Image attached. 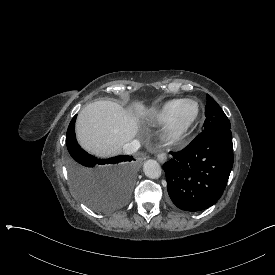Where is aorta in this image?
Returning <instances> with one entry per match:
<instances>
[{
    "mask_svg": "<svg viewBox=\"0 0 275 275\" xmlns=\"http://www.w3.org/2000/svg\"><path fill=\"white\" fill-rule=\"evenodd\" d=\"M143 171L146 176L150 178H156L161 173V168L159 163L154 159H148L143 164Z\"/></svg>",
    "mask_w": 275,
    "mask_h": 275,
    "instance_id": "obj_1",
    "label": "aorta"
}]
</instances>
